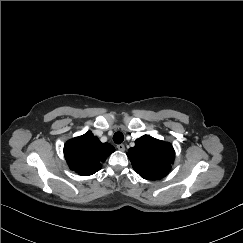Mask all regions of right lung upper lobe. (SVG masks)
<instances>
[{
    "label": "right lung upper lobe",
    "instance_id": "right-lung-upper-lobe-1",
    "mask_svg": "<svg viewBox=\"0 0 243 243\" xmlns=\"http://www.w3.org/2000/svg\"><path fill=\"white\" fill-rule=\"evenodd\" d=\"M114 151L111 144L101 143L90 131L68 140L64 146L69 168L81 176L92 175L100 170L102 162Z\"/></svg>",
    "mask_w": 243,
    "mask_h": 243
}]
</instances>
